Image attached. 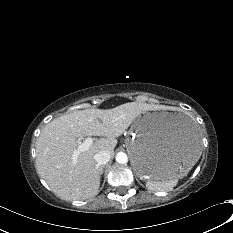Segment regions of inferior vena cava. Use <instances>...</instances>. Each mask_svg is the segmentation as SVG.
<instances>
[{
	"label": "inferior vena cava",
	"instance_id": "obj_1",
	"mask_svg": "<svg viewBox=\"0 0 233 233\" xmlns=\"http://www.w3.org/2000/svg\"><path fill=\"white\" fill-rule=\"evenodd\" d=\"M111 154L109 151L103 150L99 151L97 154L94 155V159L99 165H104L109 162Z\"/></svg>",
	"mask_w": 233,
	"mask_h": 233
}]
</instances>
